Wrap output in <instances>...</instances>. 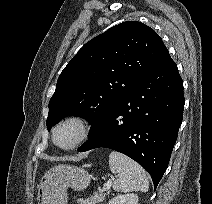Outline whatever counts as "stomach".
<instances>
[{
	"instance_id": "stomach-1",
	"label": "stomach",
	"mask_w": 212,
	"mask_h": 204,
	"mask_svg": "<svg viewBox=\"0 0 212 204\" xmlns=\"http://www.w3.org/2000/svg\"><path fill=\"white\" fill-rule=\"evenodd\" d=\"M91 175L83 168L57 165L47 171L38 187V204H67V189L81 191L88 187Z\"/></svg>"
}]
</instances>
